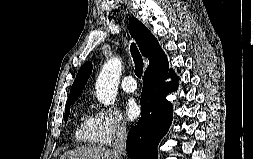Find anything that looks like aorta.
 <instances>
[{
    "instance_id": "aorta-1",
    "label": "aorta",
    "mask_w": 253,
    "mask_h": 159,
    "mask_svg": "<svg viewBox=\"0 0 253 159\" xmlns=\"http://www.w3.org/2000/svg\"><path fill=\"white\" fill-rule=\"evenodd\" d=\"M122 62L118 57L111 58L104 64L96 81V97L105 106L114 103L117 96Z\"/></svg>"
}]
</instances>
